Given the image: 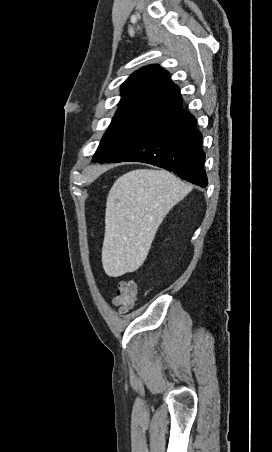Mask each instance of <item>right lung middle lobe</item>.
<instances>
[{"label":"right lung middle lobe","instance_id":"obj_1","mask_svg":"<svg viewBox=\"0 0 272 452\" xmlns=\"http://www.w3.org/2000/svg\"><path fill=\"white\" fill-rule=\"evenodd\" d=\"M160 115L126 113L115 115L93 156V162L111 163L127 151Z\"/></svg>","mask_w":272,"mask_h":452}]
</instances>
